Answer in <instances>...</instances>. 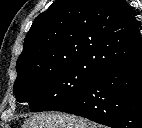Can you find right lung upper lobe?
<instances>
[{
    "label": "right lung upper lobe",
    "instance_id": "right-lung-upper-lobe-1",
    "mask_svg": "<svg viewBox=\"0 0 142 128\" xmlns=\"http://www.w3.org/2000/svg\"><path fill=\"white\" fill-rule=\"evenodd\" d=\"M142 55V41L124 0H57L38 15L17 60V79L83 66L95 76Z\"/></svg>",
    "mask_w": 142,
    "mask_h": 128
}]
</instances>
